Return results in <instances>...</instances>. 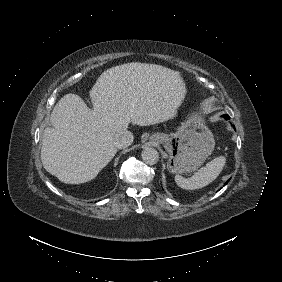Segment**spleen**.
Masks as SVG:
<instances>
[{
	"mask_svg": "<svg viewBox=\"0 0 282 282\" xmlns=\"http://www.w3.org/2000/svg\"><path fill=\"white\" fill-rule=\"evenodd\" d=\"M226 158L219 156L208 162L205 167L200 168L192 177L184 178L175 176L176 184L186 190L200 189L213 182L223 170Z\"/></svg>",
	"mask_w": 282,
	"mask_h": 282,
	"instance_id": "obj_1",
	"label": "spleen"
}]
</instances>
